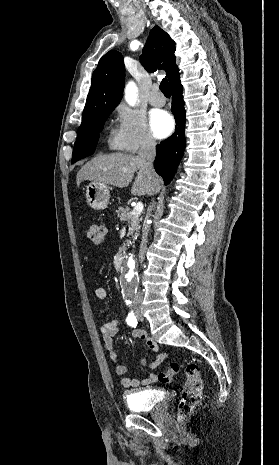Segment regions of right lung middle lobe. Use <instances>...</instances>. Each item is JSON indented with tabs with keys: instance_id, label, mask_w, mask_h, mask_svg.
Listing matches in <instances>:
<instances>
[{
	"instance_id": "dd1d6c3e",
	"label": "right lung middle lobe",
	"mask_w": 279,
	"mask_h": 465,
	"mask_svg": "<svg viewBox=\"0 0 279 465\" xmlns=\"http://www.w3.org/2000/svg\"><path fill=\"white\" fill-rule=\"evenodd\" d=\"M112 110L113 109H107L102 111L89 123L79 127L73 149L72 163L89 156L94 152L99 138V132Z\"/></svg>"
}]
</instances>
